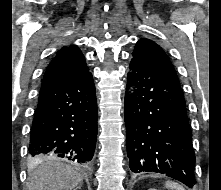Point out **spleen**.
I'll return each mask as SVG.
<instances>
[{
  "instance_id": "3e777b00",
  "label": "spleen",
  "mask_w": 221,
  "mask_h": 190,
  "mask_svg": "<svg viewBox=\"0 0 221 190\" xmlns=\"http://www.w3.org/2000/svg\"><path fill=\"white\" fill-rule=\"evenodd\" d=\"M166 187L170 190H185L181 185L175 182H166Z\"/></svg>"
}]
</instances>
